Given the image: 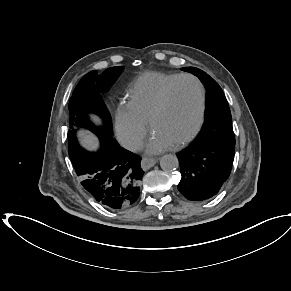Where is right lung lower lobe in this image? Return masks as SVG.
I'll return each instance as SVG.
<instances>
[{
  "instance_id": "98d812e1",
  "label": "right lung lower lobe",
  "mask_w": 291,
  "mask_h": 291,
  "mask_svg": "<svg viewBox=\"0 0 291 291\" xmlns=\"http://www.w3.org/2000/svg\"><path fill=\"white\" fill-rule=\"evenodd\" d=\"M98 152H88L78 146L69 151L82 186L103 206L123 209L133 205L140 196L144 175L141 158L120 147L109 135L99 138Z\"/></svg>"
}]
</instances>
